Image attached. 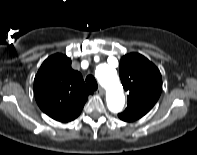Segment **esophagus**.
Wrapping results in <instances>:
<instances>
[{
  "label": "esophagus",
  "instance_id": "1",
  "mask_svg": "<svg viewBox=\"0 0 197 155\" xmlns=\"http://www.w3.org/2000/svg\"><path fill=\"white\" fill-rule=\"evenodd\" d=\"M97 93L99 94V95H104V89L102 88V87H100L98 90H97Z\"/></svg>",
  "mask_w": 197,
  "mask_h": 155
}]
</instances>
